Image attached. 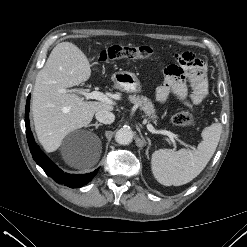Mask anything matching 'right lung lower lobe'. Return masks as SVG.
<instances>
[{"label":"right lung lower lobe","mask_w":247,"mask_h":247,"mask_svg":"<svg viewBox=\"0 0 247 247\" xmlns=\"http://www.w3.org/2000/svg\"><path fill=\"white\" fill-rule=\"evenodd\" d=\"M29 105H30V95L27 98L26 108H25V126H26V136L29 144V148L33 159L35 162L45 171V173L53 178L57 183L66 185L71 188H79L91 181L97 174L98 169L94 172L84 175H74L63 172L58 168L39 148L35 143L32 132L29 125Z\"/></svg>","instance_id":"right-lung-lower-lobe-1"}]
</instances>
